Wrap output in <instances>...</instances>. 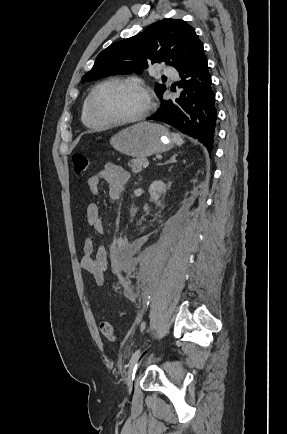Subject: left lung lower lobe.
I'll list each match as a JSON object with an SVG mask.
<instances>
[{"mask_svg": "<svg viewBox=\"0 0 287 434\" xmlns=\"http://www.w3.org/2000/svg\"><path fill=\"white\" fill-rule=\"evenodd\" d=\"M178 72L181 80L177 85L183 88L180 97L174 101L162 100L160 109L147 119L167 123L212 151L217 112L205 54L188 61Z\"/></svg>", "mask_w": 287, "mask_h": 434, "instance_id": "left-lung-lower-lobe-1", "label": "left lung lower lobe"}]
</instances>
